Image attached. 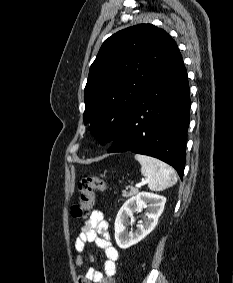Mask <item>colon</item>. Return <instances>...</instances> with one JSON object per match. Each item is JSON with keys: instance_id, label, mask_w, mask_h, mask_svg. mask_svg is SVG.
Listing matches in <instances>:
<instances>
[{"instance_id": "5ec220e1", "label": "colon", "mask_w": 233, "mask_h": 283, "mask_svg": "<svg viewBox=\"0 0 233 283\" xmlns=\"http://www.w3.org/2000/svg\"><path fill=\"white\" fill-rule=\"evenodd\" d=\"M108 186L106 182L96 176H83L78 183L79 201L71 208L74 218L87 216L95 202V191L105 192Z\"/></svg>"}]
</instances>
